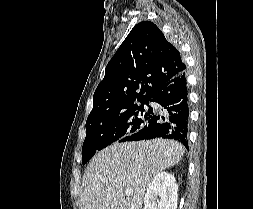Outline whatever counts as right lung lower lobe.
I'll list each match as a JSON object with an SVG mask.
<instances>
[{
    "mask_svg": "<svg viewBox=\"0 0 253 209\" xmlns=\"http://www.w3.org/2000/svg\"><path fill=\"white\" fill-rule=\"evenodd\" d=\"M185 71L169 80L150 100L162 106L153 112L148 123L126 141L154 138L174 139L188 148V93ZM149 104V103H148Z\"/></svg>",
    "mask_w": 253,
    "mask_h": 209,
    "instance_id": "1",
    "label": "right lung lower lobe"
}]
</instances>
